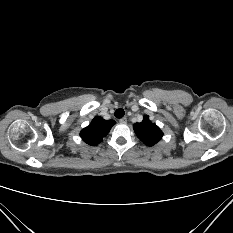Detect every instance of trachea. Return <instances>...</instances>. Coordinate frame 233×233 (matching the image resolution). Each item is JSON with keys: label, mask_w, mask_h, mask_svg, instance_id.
Segmentation results:
<instances>
[{"label": "trachea", "mask_w": 233, "mask_h": 233, "mask_svg": "<svg viewBox=\"0 0 233 233\" xmlns=\"http://www.w3.org/2000/svg\"><path fill=\"white\" fill-rule=\"evenodd\" d=\"M125 114V111L122 108H119L115 111L116 118H122Z\"/></svg>", "instance_id": "obj_1"}]
</instances>
